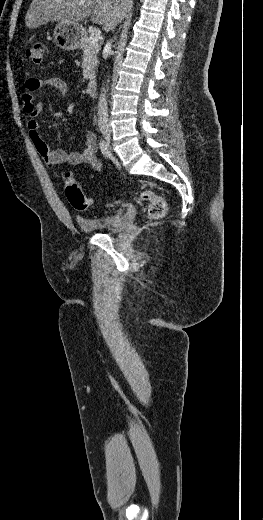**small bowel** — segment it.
Instances as JSON below:
<instances>
[{"mask_svg": "<svg viewBox=\"0 0 263 520\" xmlns=\"http://www.w3.org/2000/svg\"><path fill=\"white\" fill-rule=\"evenodd\" d=\"M43 86L54 87L61 94H66L68 92V84L57 77L48 79L28 78L25 80L23 92L21 94V101L27 117L26 129L37 152L50 167L62 164H87L93 170L98 171L101 164L97 156L98 143L94 132L86 131L84 133V149L72 152H68L64 149L51 150L41 137L39 132V123L36 120V117L42 113L43 106L34 102V94Z\"/></svg>", "mask_w": 263, "mask_h": 520, "instance_id": "c3829d8e", "label": "small bowel"}]
</instances>
